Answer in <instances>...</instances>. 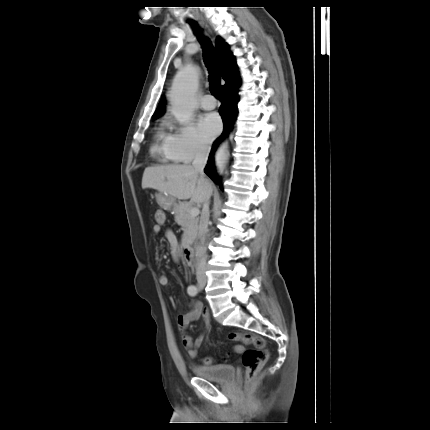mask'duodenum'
<instances>
[{
	"instance_id": "410a0bca",
	"label": "duodenum",
	"mask_w": 430,
	"mask_h": 430,
	"mask_svg": "<svg viewBox=\"0 0 430 430\" xmlns=\"http://www.w3.org/2000/svg\"><path fill=\"white\" fill-rule=\"evenodd\" d=\"M183 257L188 266H192L194 263L193 248L190 245H185L183 248Z\"/></svg>"
}]
</instances>
